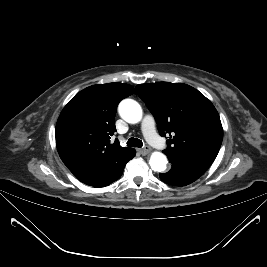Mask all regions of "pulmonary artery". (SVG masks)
<instances>
[{"label": "pulmonary artery", "instance_id": "pulmonary-artery-1", "mask_svg": "<svg viewBox=\"0 0 267 267\" xmlns=\"http://www.w3.org/2000/svg\"><path fill=\"white\" fill-rule=\"evenodd\" d=\"M141 130L147 141L156 148H163L164 141L156 131L155 120L151 115H146L141 123Z\"/></svg>", "mask_w": 267, "mask_h": 267}]
</instances>
